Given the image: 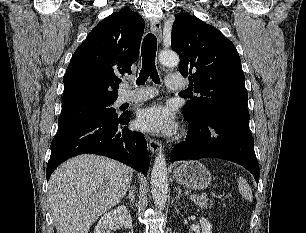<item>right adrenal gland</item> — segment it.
<instances>
[{
    "label": "right adrenal gland",
    "instance_id": "obj_1",
    "mask_svg": "<svg viewBox=\"0 0 306 233\" xmlns=\"http://www.w3.org/2000/svg\"><path fill=\"white\" fill-rule=\"evenodd\" d=\"M135 187L134 186H131L130 189H129V194L128 196L125 197V199H130L132 204L134 203L135 201Z\"/></svg>",
    "mask_w": 306,
    "mask_h": 233
}]
</instances>
